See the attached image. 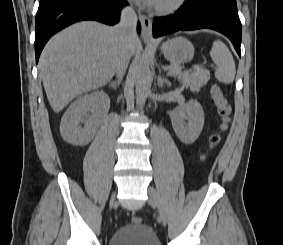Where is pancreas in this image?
Listing matches in <instances>:
<instances>
[{
	"mask_svg": "<svg viewBox=\"0 0 283 245\" xmlns=\"http://www.w3.org/2000/svg\"><path fill=\"white\" fill-rule=\"evenodd\" d=\"M181 69L182 67L179 65L173 64L169 66L170 74L177 77L183 86L190 88L191 91H199L210 79V72L206 69H195L184 74H178L177 72Z\"/></svg>",
	"mask_w": 283,
	"mask_h": 245,
	"instance_id": "cf45deb5",
	"label": "pancreas"
}]
</instances>
